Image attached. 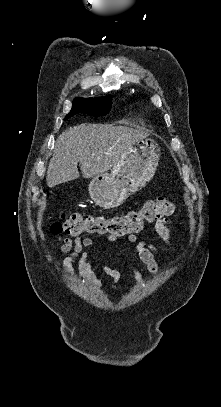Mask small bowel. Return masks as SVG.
<instances>
[{
    "label": "small bowel",
    "instance_id": "obj_1",
    "mask_svg": "<svg viewBox=\"0 0 221 407\" xmlns=\"http://www.w3.org/2000/svg\"><path fill=\"white\" fill-rule=\"evenodd\" d=\"M169 226H175V223L169 218H163L155 223L154 229L159 238L168 247L173 246V239ZM60 247L58 252L63 255H68L65 259V264L69 267L71 263L78 260V280L80 283H89L95 291L101 290L104 287L115 286L120 278L118 271L112 269L107 264L103 263L104 272L111 277V280L103 284L90 263L93 254L95 243L91 238L76 237L74 239L61 237ZM117 238L108 236L106 242H114ZM126 243H136V250L141 263L146 267L147 271L154 276H157L160 271L156 255L158 254L154 246L147 240H139L136 234H130ZM136 282L139 284L142 280L141 274L135 270Z\"/></svg>",
    "mask_w": 221,
    "mask_h": 407
}]
</instances>
